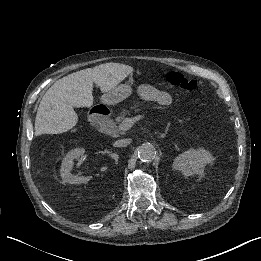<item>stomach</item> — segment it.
<instances>
[{"label": "stomach", "instance_id": "stomach-1", "mask_svg": "<svg viewBox=\"0 0 261 261\" xmlns=\"http://www.w3.org/2000/svg\"><path fill=\"white\" fill-rule=\"evenodd\" d=\"M132 91V87L129 84H120L103 94L101 100L107 105H114L128 98Z\"/></svg>", "mask_w": 261, "mask_h": 261}]
</instances>
